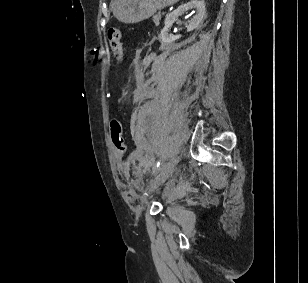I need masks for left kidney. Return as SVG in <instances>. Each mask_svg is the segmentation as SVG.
Returning a JSON list of instances; mask_svg holds the SVG:
<instances>
[{
	"instance_id": "5707ae66",
	"label": "left kidney",
	"mask_w": 308,
	"mask_h": 283,
	"mask_svg": "<svg viewBox=\"0 0 308 283\" xmlns=\"http://www.w3.org/2000/svg\"><path fill=\"white\" fill-rule=\"evenodd\" d=\"M193 8L197 9V14L187 26V32L192 31L197 27H199L205 16V3L204 0H192L186 4L179 6L176 10L170 13L168 17L165 19V26L160 32V40L162 41V43L168 45L181 37L180 35L169 34L168 29L172 26V24L179 16H181L182 14Z\"/></svg>"
}]
</instances>
